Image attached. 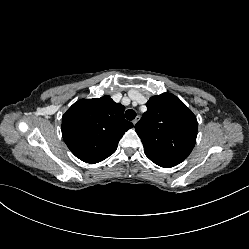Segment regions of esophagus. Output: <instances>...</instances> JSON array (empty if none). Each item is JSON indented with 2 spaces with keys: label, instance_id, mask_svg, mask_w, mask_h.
<instances>
[{
  "label": "esophagus",
  "instance_id": "1",
  "mask_svg": "<svg viewBox=\"0 0 249 249\" xmlns=\"http://www.w3.org/2000/svg\"><path fill=\"white\" fill-rule=\"evenodd\" d=\"M139 120H140V116H136L132 122L135 125Z\"/></svg>",
  "mask_w": 249,
  "mask_h": 249
}]
</instances>
